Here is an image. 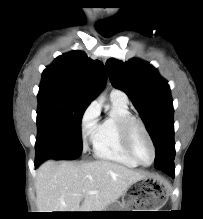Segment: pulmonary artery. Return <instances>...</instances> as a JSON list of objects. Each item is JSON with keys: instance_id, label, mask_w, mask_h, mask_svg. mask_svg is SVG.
Instances as JSON below:
<instances>
[{"instance_id": "pulmonary-artery-1", "label": "pulmonary artery", "mask_w": 203, "mask_h": 219, "mask_svg": "<svg viewBox=\"0 0 203 219\" xmlns=\"http://www.w3.org/2000/svg\"><path fill=\"white\" fill-rule=\"evenodd\" d=\"M110 97L112 101H117L122 104H128V97L121 90L113 89L110 93Z\"/></svg>"}]
</instances>
